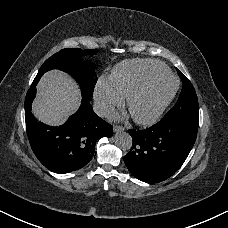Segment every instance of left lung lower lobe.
<instances>
[{
    "instance_id": "1",
    "label": "left lung lower lobe",
    "mask_w": 228,
    "mask_h": 228,
    "mask_svg": "<svg viewBox=\"0 0 228 228\" xmlns=\"http://www.w3.org/2000/svg\"><path fill=\"white\" fill-rule=\"evenodd\" d=\"M192 124L156 123L144 130L130 129L133 145L124 162L137 179L159 183L171 177L184 163L197 136Z\"/></svg>"
}]
</instances>
